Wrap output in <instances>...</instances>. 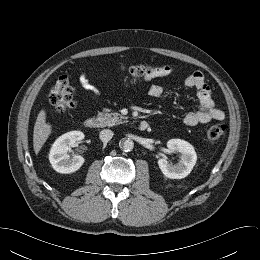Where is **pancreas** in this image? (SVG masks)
Segmentation results:
<instances>
[{"label": "pancreas", "instance_id": "pancreas-1", "mask_svg": "<svg viewBox=\"0 0 260 260\" xmlns=\"http://www.w3.org/2000/svg\"><path fill=\"white\" fill-rule=\"evenodd\" d=\"M98 118L103 122L104 126H114L126 121L127 117L122 116L117 112H110L109 109H104L98 113Z\"/></svg>", "mask_w": 260, "mask_h": 260}]
</instances>
